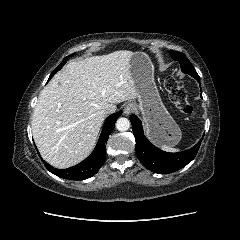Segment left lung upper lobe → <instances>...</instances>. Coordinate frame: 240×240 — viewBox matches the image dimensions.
Wrapping results in <instances>:
<instances>
[{"instance_id":"obj_1","label":"left lung upper lobe","mask_w":240,"mask_h":240,"mask_svg":"<svg viewBox=\"0 0 240 240\" xmlns=\"http://www.w3.org/2000/svg\"><path fill=\"white\" fill-rule=\"evenodd\" d=\"M169 53L174 60H177L180 63L183 73L189 74L192 77L198 76L193 65L190 63V61L183 53L173 50H170Z\"/></svg>"}]
</instances>
